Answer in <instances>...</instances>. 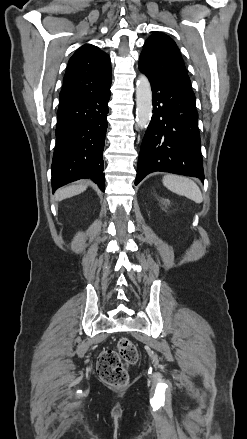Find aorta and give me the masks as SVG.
<instances>
[{"label": "aorta", "mask_w": 247, "mask_h": 439, "mask_svg": "<svg viewBox=\"0 0 247 439\" xmlns=\"http://www.w3.org/2000/svg\"><path fill=\"white\" fill-rule=\"evenodd\" d=\"M152 117V91L148 78L140 75L136 82V121L140 129L147 128Z\"/></svg>", "instance_id": "obj_1"}]
</instances>
